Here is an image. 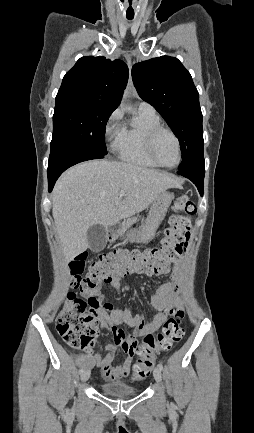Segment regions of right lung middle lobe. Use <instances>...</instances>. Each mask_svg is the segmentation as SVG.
Here are the masks:
<instances>
[{
  "label": "right lung middle lobe",
  "mask_w": 254,
  "mask_h": 433,
  "mask_svg": "<svg viewBox=\"0 0 254 433\" xmlns=\"http://www.w3.org/2000/svg\"><path fill=\"white\" fill-rule=\"evenodd\" d=\"M113 111L91 103L55 106L51 149L71 142L93 153L106 155L105 127Z\"/></svg>",
  "instance_id": "obj_1"
}]
</instances>
